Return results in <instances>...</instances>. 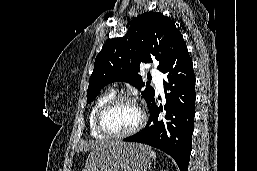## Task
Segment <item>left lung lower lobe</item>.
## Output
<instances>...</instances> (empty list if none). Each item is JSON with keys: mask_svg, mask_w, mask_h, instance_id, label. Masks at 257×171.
Returning a JSON list of instances; mask_svg holds the SVG:
<instances>
[{"mask_svg": "<svg viewBox=\"0 0 257 171\" xmlns=\"http://www.w3.org/2000/svg\"><path fill=\"white\" fill-rule=\"evenodd\" d=\"M161 72L166 74V103L157 107L147 102L150 118L143 130L124 141L144 143L170 155L180 171H188L194 131L195 75L187 47L169 57Z\"/></svg>", "mask_w": 257, "mask_h": 171, "instance_id": "obj_1", "label": "left lung lower lobe"}]
</instances>
